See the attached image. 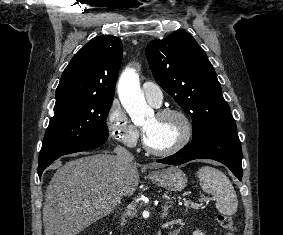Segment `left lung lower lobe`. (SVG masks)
<instances>
[{
	"label": "left lung lower lobe",
	"instance_id": "0a47b994",
	"mask_svg": "<svg viewBox=\"0 0 283 235\" xmlns=\"http://www.w3.org/2000/svg\"><path fill=\"white\" fill-rule=\"evenodd\" d=\"M199 158L219 161L239 180L242 178V150L236 131L193 139L174 155L157 162L179 165Z\"/></svg>",
	"mask_w": 283,
	"mask_h": 235
}]
</instances>
